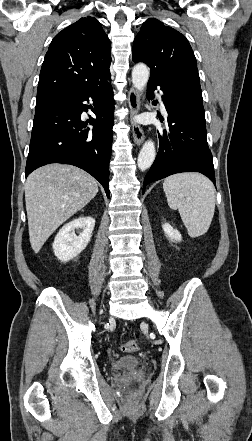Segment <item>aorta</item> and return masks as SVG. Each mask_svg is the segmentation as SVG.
Listing matches in <instances>:
<instances>
[{"instance_id": "762f6f07", "label": "aorta", "mask_w": 252, "mask_h": 441, "mask_svg": "<svg viewBox=\"0 0 252 441\" xmlns=\"http://www.w3.org/2000/svg\"><path fill=\"white\" fill-rule=\"evenodd\" d=\"M149 79V69L145 64H137L132 70V83L134 87L142 92L147 85ZM156 149L154 142L148 140L144 143L138 155L137 164L141 170L148 169L154 162Z\"/></svg>"}]
</instances>
